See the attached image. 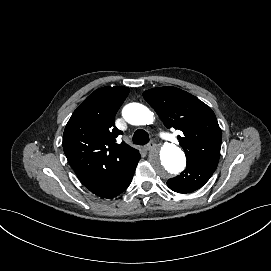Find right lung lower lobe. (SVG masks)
Here are the masks:
<instances>
[{
  "mask_svg": "<svg viewBox=\"0 0 271 271\" xmlns=\"http://www.w3.org/2000/svg\"><path fill=\"white\" fill-rule=\"evenodd\" d=\"M140 158L141 156L138 153L131 161L119 165L113 170L111 176L107 177L97 188L90 191L103 198H113L119 195L130 185Z\"/></svg>",
  "mask_w": 271,
  "mask_h": 271,
  "instance_id": "98d812e1",
  "label": "right lung lower lobe"
}]
</instances>
